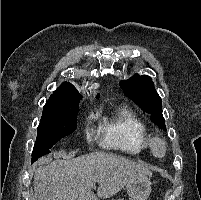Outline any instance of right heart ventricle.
I'll return each mask as SVG.
<instances>
[{"mask_svg":"<svg viewBox=\"0 0 201 200\" xmlns=\"http://www.w3.org/2000/svg\"><path fill=\"white\" fill-rule=\"evenodd\" d=\"M102 143L105 147L137 155L151 148V135L146 125L127 108H118L102 126Z\"/></svg>","mask_w":201,"mask_h":200,"instance_id":"obj_1","label":"right heart ventricle"}]
</instances>
